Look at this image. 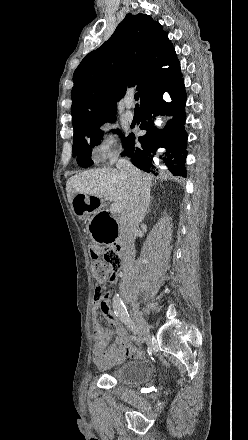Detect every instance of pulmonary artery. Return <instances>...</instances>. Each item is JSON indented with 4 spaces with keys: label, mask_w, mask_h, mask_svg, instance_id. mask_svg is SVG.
I'll list each match as a JSON object with an SVG mask.
<instances>
[{
    "label": "pulmonary artery",
    "mask_w": 248,
    "mask_h": 440,
    "mask_svg": "<svg viewBox=\"0 0 248 440\" xmlns=\"http://www.w3.org/2000/svg\"><path fill=\"white\" fill-rule=\"evenodd\" d=\"M125 107H126V111L124 113V116L126 120L132 121L134 118V112H133V98L131 96L126 98Z\"/></svg>",
    "instance_id": "e3ab8cb5"
}]
</instances>
